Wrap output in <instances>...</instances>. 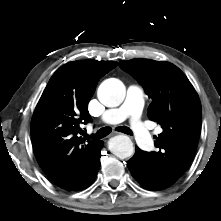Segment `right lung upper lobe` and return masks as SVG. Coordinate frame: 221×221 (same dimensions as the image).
I'll return each mask as SVG.
<instances>
[{"instance_id": "right-lung-upper-lobe-1", "label": "right lung upper lobe", "mask_w": 221, "mask_h": 221, "mask_svg": "<svg viewBox=\"0 0 221 221\" xmlns=\"http://www.w3.org/2000/svg\"><path fill=\"white\" fill-rule=\"evenodd\" d=\"M115 61L81 60L60 67L49 80L31 122L36 159L47 177L71 190L86 176L102 141L79 136L91 121L87 110L100 78Z\"/></svg>"}]
</instances>
